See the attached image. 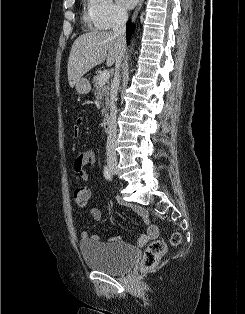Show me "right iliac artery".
<instances>
[{
  "mask_svg": "<svg viewBox=\"0 0 245 314\" xmlns=\"http://www.w3.org/2000/svg\"><path fill=\"white\" fill-rule=\"evenodd\" d=\"M103 174H104V177L107 179V180H112V174L111 172L109 171L108 167L105 166L104 167V171H103Z\"/></svg>",
  "mask_w": 245,
  "mask_h": 314,
  "instance_id": "82829eb1",
  "label": "right iliac artery"
}]
</instances>
